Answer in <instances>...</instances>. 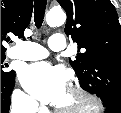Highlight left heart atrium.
Segmentation results:
<instances>
[{
    "label": "left heart atrium",
    "instance_id": "1",
    "mask_svg": "<svg viewBox=\"0 0 121 113\" xmlns=\"http://www.w3.org/2000/svg\"><path fill=\"white\" fill-rule=\"evenodd\" d=\"M24 88L44 103L57 105L66 91L64 73L47 63H36L26 67L20 74Z\"/></svg>",
    "mask_w": 121,
    "mask_h": 113
}]
</instances>
